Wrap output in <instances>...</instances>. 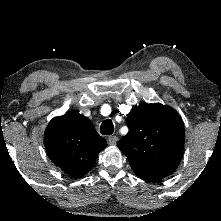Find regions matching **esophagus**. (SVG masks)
Instances as JSON below:
<instances>
[{
  "label": "esophagus",
  "instance_id": "1",
  "mask_svg": "<svg viewBox=\"0 0 221 221\" xmlns=\"http://www.w3.org/2000/svg\"><path fill=\"white\" fill-rule=\"evenodd\" d=\"M117 140H118V139H117L116 136H109V138H108V143H109L110 145L114 146V145H116Z\"/></svg>",
  "mask_w": 221,
  "mask_h": 221
}]
</instances>
